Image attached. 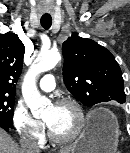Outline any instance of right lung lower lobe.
Masks as SVG:
<instances>
[{"label": "right lung lower lobe", "instance_id": "obj_1", "mask_svg": "<svg viewBox=\"0 0 130 153\" xmlns=\"http://www.w3.org/2000/svg\"><path fill=\"white\" fill-rule=\"evenodd\" d=\"M0 127L5 129L6 131H9L11 129V127H9L8 125H6L4 122L0 121Z\"/></svg>", "mask_w": 130, "mask_h": 153}]
</instances>
